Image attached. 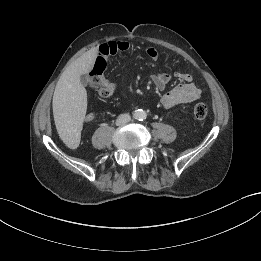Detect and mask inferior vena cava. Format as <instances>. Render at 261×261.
<instances>
[{"label": "inferior vena cava", "instance_id": "obj_1", "mask_svg": "<svg viewBox=\"0 0 261 261\" xmlns=\"http://www.w3.org/2000/svg\"><path fill=\"white\" fill-rule=\"evenodd\" d=\"M131 120V117L129 114H121L118 116L116 124L117 125H124L128 123Z\"/></svg>", "mask_w": 261, "mask_h": 261}]
</instances>
